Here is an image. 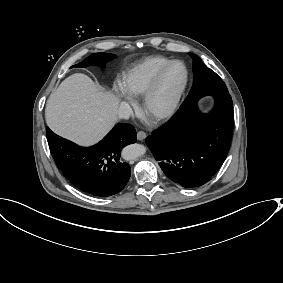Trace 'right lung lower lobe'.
Returning a JSON list of instances; mask_svg holds the SVG:
<instances>
[{"mask_svg":"<svg viewBox=\"0 0 283 283\" xmlns=\"http://www.w3.org/2000/svg\"><path fill=\"white\" fill-rule=\"evenodd\" d=\"M136 140L131 124L118 123L98 144L83 148L47 127V141L57 167L75 187L93 196H111L124 189L131 169L122 162L121 151Z\"/></svg>","mask_w":283,"mask_h":283,"instance_id":"1","label":"right lung lower lobe"}]
</instances>
